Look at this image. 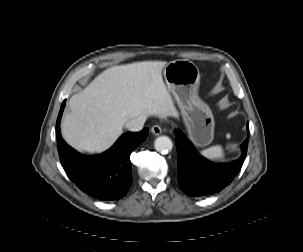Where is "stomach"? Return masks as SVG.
Here are the masks:
<instances>
[{
    "label": "stomach",
    "mask_w": 303,
    "mask_h": 252,
    "mask_svg": "<svg viewBox=\"0 0 303 252\" xmlns=\"http://www.w3.org/2000/svg\"><path fill=\"white\" fill-rule=\"evenodd\" d=\"M163 76L181 110L189 138L198 146L208 145L213 139L214 117L198 96V67L187 60H174L164 67Z\"/></svg>",
    "instance_id": "obj_1"
}]
</instances>
